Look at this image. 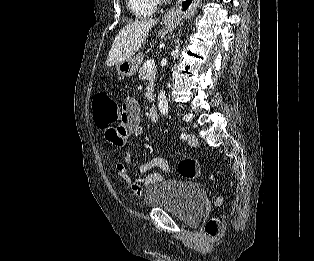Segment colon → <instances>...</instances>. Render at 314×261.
Wrapping results in <instances>:
<instances>
[{"label":"colon","instance_id":"5ec220e1","mask_svg":"<svg viewBox=\"0 0 314 261\" xmlns=\"http://www.w3.org/2000/svg\"><path fill=\"white\" fill-rule=\"evenodd\" d=\"M94 123L98 128L107 129L118 122L120 112L117 103L105 92L97 93L93 98ZM109 141V140H108ZM179 174L187 179H196L200 173V166L194 159H184L178 163ZM218 204L222 199H218ZM221 229L219 220L209 219L204 227L206 235L215 238Z\"/></svg>","mask_w":314,"mask_h":261}]
</instances>
